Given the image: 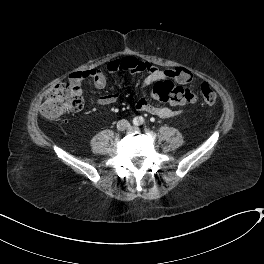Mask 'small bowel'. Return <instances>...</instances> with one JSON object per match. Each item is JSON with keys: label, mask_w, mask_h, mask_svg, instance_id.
<instances>
[{"label": "small bowel", "mask_w": 264, "mask_h": 264, "mask_svg": "<svg viewBox=\"0 0 264 264\" xmlns=\"http://www.w3.org/2000/svg\"><path fill=\"white\" fill-rule=\"evenodd\" d=\"M107 68L110 73L116 72H139L148 71V75L142 82V88L145 89L153 83L163 81L167 79L166 70H161L150 63L140 62L133 57H125L122 59H116L108 63ZM72 77L81 80H91L94 86L98 89H102L106 85L105 76L96 69H90L82 72H75ZM120 99L119 92H112L104 94L97 99V103L102 106H108L116 103ZM195 99L193 98L192 102ZM136 109L138 111L147 112L151 115L159 118H169L176 114V111L170 107L157 106L150 102L145 96H141L136 102Z\"/></svg>", "instance_id": "small-bowel-1"}]
</instances>
